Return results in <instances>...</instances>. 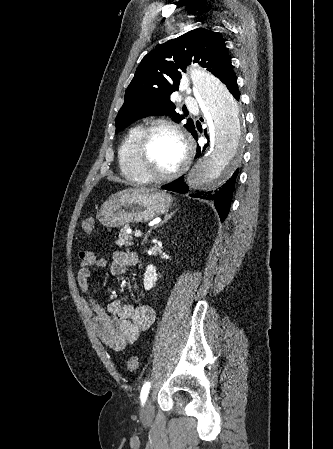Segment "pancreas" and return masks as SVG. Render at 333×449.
Wrapping results in <instances>:
<instances>
[{
	"label": "pancreas",
	"mask_w": 333,
	"mask_h": 449,
	"mask_svg": "<svg viewBox=\"0 0 333 449\" xmlns=\"http://www.w3.org/2000/svg\"><path fill=\"white\" fill-rule=\"evenodd\" d=\"M126 229H127L126 227L123 228L121 230V233L119 234V239L116 242V244L119 246H130L132 244L131 241L133 237L126 232Z\"/></svg>",
	"instance_id": "1"
}]
</instances>
